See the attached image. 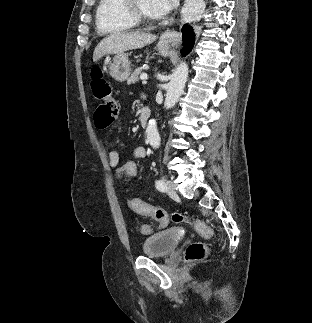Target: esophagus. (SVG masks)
Segmentation results:
<instances>
[{
    "instance_id": "1",
    "label": "esophagus",
    "mask_w": 312,
    "mask_h": 323,
    "mask_svg": "<svg viewBox=\"0 0 312 323\" xmlns=\"http://www.w3.org/2000/svg\"><path fill=\"white\" fill-rule=\"evenodd\" d=\"M162 40L171 44L174 47H177L181 42L182 36L180 32H176L174 30H167L162 34Z\"/></svg>"
}]
</instances>
